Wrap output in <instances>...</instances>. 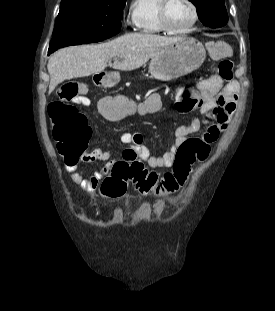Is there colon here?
Returning a JSON list of instances; mask_svg holds the SVG:
<instances>
[{"label": "colon", "instance_id": "1", "mask_svg": "<svg viewBox=\"0 0 275 311\" xmlns=\"http://www.w3.org/2000/svg\"><path fill=\"white\" fill-rule=\"evenodd\" d=\"M209 52L213 59L219 60L218 73L221 78L230 81L233 77V63L226 59L229 48L224 42L209 44ZM60 100L49 106L52 121V134L57 142V150L65 159L75 160L87 147L90 129L86 117L75 107L66 104H90V97H84L86 89L77 82L64 84L58 91ZM160 92H151L150 97L143 101L142 97H103L99 103V113L122 124L121 117L131 120L132 117H153L160 112ZM179 98H192L183 91ZM216 136L190 138L183 142L177 150L173 167L159 178L157 172L149 170L137 160L119 161L112 167L111 173L105 175L100 183L99 197L119 198L125 195L128 186L141 193L158 197L173 194L180 190L188 181L192 166L206 161L210 155V143Z\"/></svg>", "mask_w": 275, "mask_h": 311}]
</instances>
